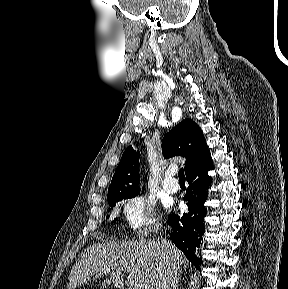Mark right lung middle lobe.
<instances>
[{
  "instance_id": "obj_1",
  "label": "right lung middle lobe",
  "mask_w": 288,
  "mask_h": 289,
  "mask_svg": "<svg viewBox=\"0 0 288 289\" xmlns=\"http://www.w3.org/2000/svg\"><path fill=\"white\" fill-rule=\"evenodd\" d=\"M140 193V188L108 192V204L114 207L118 201L133 198Z\"/></svg>"
}]
</instances>
